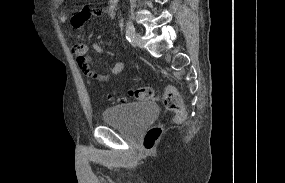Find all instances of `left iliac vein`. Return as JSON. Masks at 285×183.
<instances>
[{
    "label": "left iliac vein",
    "instance_id": "obj_1",
    "mask_svg": "<svg viewBox=\"0 0 285 183\" xmlns=\"http://www.w3.org/2000/svg\"><path fill=\"white\" fill-rule=\"evenodd\" d=\"M141 40H142L141 35L139 33H135L134 38L132 39V45L134 47L139 46V44L141 43Z\"/></svg>",
    "mask_w": 285,
    "mask_h": 183
}]
</instances>
